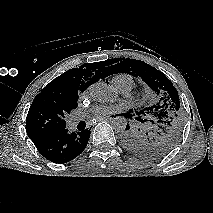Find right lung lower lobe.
<instances>
[{
	"mask_svg": "<svg viewBox=\"0 0 213 213\" xmlns=\"http://www.w3.org/2000/svg\"><path fill=\"white\" fill-rule=\"evenodd\" d=\"M92 128V127H91ZM90 130L70 133L67 128L31 137L39 153L47 160L62 164L80 155L87 146Z\"/></svg>",
	"mask_w": 213,
	"mask_h": 213,
	"instance_id": "right-lung-lower-lobe-1",
	"label": "right lung lower lobe"
}]
</instances>
